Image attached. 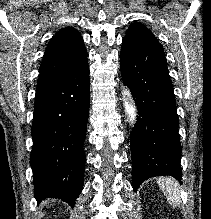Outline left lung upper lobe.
Wrapping results in <instances>:
<instances>
[{
    "label": "left lung upper lobe",
    "instance_id": "obj_1",
    "mask_svg": "<svg viewBox=\"0 0 211 219\" xmlns=\"http://www.w3.org/2000/svg\"><path fill=\"white\" fill-rule=\"evenodd\" d=\"M125 39L139 43L160 45L153 33L140 23H134L128 28Z\"/></svg>",
    "mask_w": 211,
    "mask_h": 219
}]
</instances>
